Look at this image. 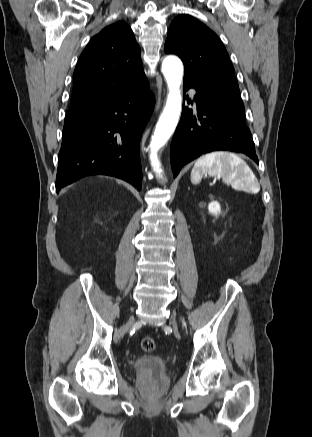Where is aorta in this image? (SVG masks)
<instances>
[{"instance_id":"1","label":"aorta","mask_w":312,"mask_h":437,"mask_svg":"<svg viewBox=\"0 0 312 437\" xmlns=\"http://www.w3.org/2000/svg\"><path fill=\"white\" fill-rule=\"evenodd\" d=\"M162 72L167 81L169 93L165 108L156 124L151 137L149 159L153 171L162 178V167L158 158V151L167 143L178 124L181 114L182 97L180 85L183 78V64L175 56H168L162 63Z\"/></svg>"}]
</instances>
